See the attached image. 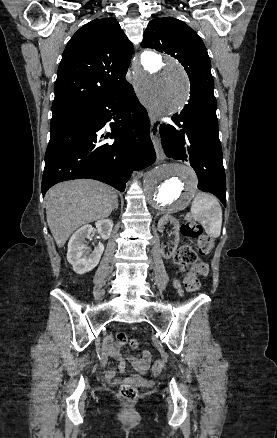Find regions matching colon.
I'll return each mask as SVG.
<instances>
[{
	"label": "colon",
	"instance_id": "1",
	"mask_svg": "<svg viewBox=\"0 0 277 438\" xmlns=\"http://www.w3.org/2000/svg\"><path fill=\"white\" fill-rule=\"evenodd\" d=\"M180 231L184 237L194 241V246L189 244L180 246L175 252L174 259L178 265L187 270L184 279L186 290L196 292L201 286L199 278L208 274V265L197 260V252L209 254L214 249V243L209 236L205 235L202 225L198 222L187 220L182 223ZM116 337L120 344H130L132 347L137 344L134 340L129 341L124 332H117ZM162 369V362L156 360L152 365V373L158 375ZM141 395L140 389L132 387L117 390V397L122 398L123 402H137Z\"/></svg>",
	"mask_w": 277,
	"mask_h": 438
}]
</instances>
